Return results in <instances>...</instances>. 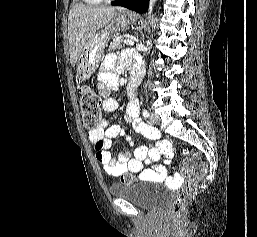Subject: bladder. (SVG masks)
Returning a JSON list of instances; mask_svg holds the SVG:
<instances>
[{
	"instance_id": "31cf9c89",
	"label": "bladder",
	"mask_w": 257,
	"mask_h": 237,
	"mask_svg": "<svg viewBox=\"0 0 257 237\" xmlns=\"http://www.w3.org/2000/svg\"><path fill=\"white\" fill-rule=\"evenodd\" d=\"M152 182L142 180L141 182L113 184L109 191L113 197L128 200L139 208L157 210L167 203L168 192L152 186Z\"/></svg>"
}]
</instances>
